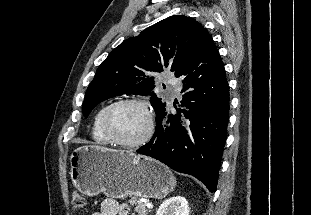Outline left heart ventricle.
Returning a JSON list of instances; mask_svg holds the SVG:
<instances>
[{
  "label": "left heart ventricle",
  "mask_w": 311,
  "mask_h": 215,
  "mask_svg": "<svg viewBox=\"0 0 311 215\" xmlns=\"http://www.w3.org/2000/svg\"><path fill=\"white\" fill-rule=\"evenodd\" d=\"M110 126L118 138L133 142L140 139L147 130V114L140 106L123 105L113 112Z\"/></svg>",
  "instance_id": "left-heart-ventricle-1"
}]
</instances>
